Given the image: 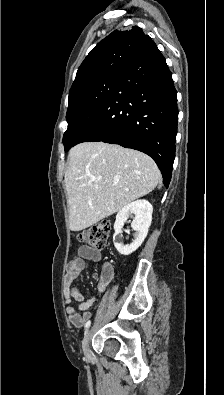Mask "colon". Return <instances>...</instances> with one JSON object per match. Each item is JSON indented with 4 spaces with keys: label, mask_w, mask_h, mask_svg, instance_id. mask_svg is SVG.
Returning <instances> with one entry per match:
<instances>
[{
    "label": "colon",
    "mask_w": 224,
    "mask_h": 395,
    "mask_svg": "<svg viewBox=\"0 0 224 395\" xmlns=\"http://www.w3.org/2000/svg\"><path fill=\"white\" fill-rule=\"evenodd\" d=\"M110 225L108 223H99L93 227L87 228L79 233L77 239L86 243L92 248L101 249L105 246L109 237ZM107 267L100 274V278L106 276Z\"/></svg>",
    "instance_id": "1"
}]
</instances>
